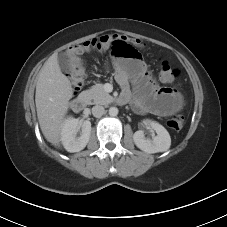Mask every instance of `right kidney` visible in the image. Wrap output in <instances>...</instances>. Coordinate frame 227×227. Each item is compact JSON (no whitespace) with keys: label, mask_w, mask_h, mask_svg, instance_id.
<instances>
[{"label":"right kidney","mask_w":227,"mask_h":227,"mask_svg":"<svg viewBox=\"0 0 227 227\" xmlns=\"http://www.w3.org/2000/svg\"><path fill=\"white\" fill-rule=\"evenodd\" d=\"M81 127V136L76 137L77 131ZM91 134V122L81 121L73 117L67 118L61 128V141L68 152H79L83 150L89 142Z\"/></svg>","instance_id":"obj_1"}]
</instances>
